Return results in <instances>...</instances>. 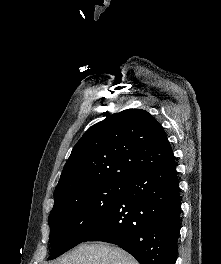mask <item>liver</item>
I'll return each instance as SVG.
<instances>
[{"label": "liver", "instance_id": "6515ba94", "mask_svg": "<svg viewBox=\"0 0 221 264\" xmlns=\"http://www.w3.org/2000/svg\"><path fill=\"white\" fill-rule=\"evenodd\" d=\"M51 264H139L131 255L118 247L82 244Z\"/></svg>", "mask_w": 221, "mask_h": 264}]
</instances>
